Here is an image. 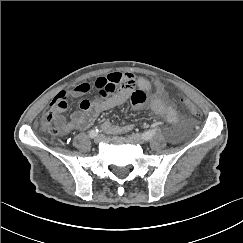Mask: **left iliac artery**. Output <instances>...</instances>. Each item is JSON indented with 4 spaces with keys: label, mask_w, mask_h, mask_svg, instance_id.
<instances>
[{
    "label": "left iliac artery",
    "mask_w": 243,
    "mask_h": 243,
    "mask_svg": "<svg viewBox=\"0 0 243 243\" xmlns=\"http://www.w3.org/2000/svg\"><path fill=\"white\" fill-rule=\"evenodd\" d=\"M157 132V128L151 129V130H147L142 134V137L147 141L150 140L155 133Z\"/></svg>",
    "instance_id": "left-iliac-artery-1"
}]
</instances>
